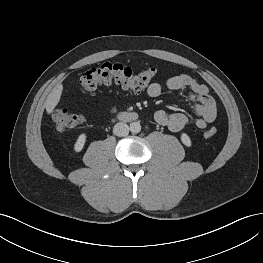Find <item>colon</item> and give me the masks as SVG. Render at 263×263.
I'll list each match as a JSON object with an SVG mask.
<instances>
[{
    "label": "colon",
    "mask_w": 263,
    "mask_h": 263,
    "mask_svg": "<svg viewBox=\"0 0 263 263\" xmlns=\"http://www.w3.org/2000/svg\"><path fill=\"white\" fill-rule=\"evenodd\" d=\"M155 76V69L142 68L139 71L119 63H104L86 70L79 78L80 86L87 91L96 89L102 85L117 84L126 89L141 91L146 88ZM52 119L58 131L69 130L82 123L83 117L65 108L56 109ZM217 133L215 127L205 132L206 137H212Z\"/></svg>",
    "instance_id": "1"
}]
</instances>
